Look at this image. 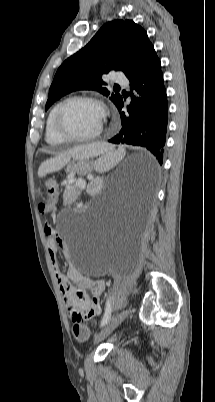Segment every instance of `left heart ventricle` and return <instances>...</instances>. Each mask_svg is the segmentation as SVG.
<instances>
[{"mask_svg": "<svg viewBox=\"0 0 215 402\" xmlns=\"http://www.w3.org/2000/svg\"><path fill=\"white\" fill-rule=\"evenodd\" d=\"M64 129L74 135L95 133L104 123L101 109L91 102L75 101L68 104L61 116Z\"/></svg>", "mask_w": 215, "mask_h": 402, "instance_id": "left-heart-ventricle-1", "label": "left heart ventricle"}]
</instances>
